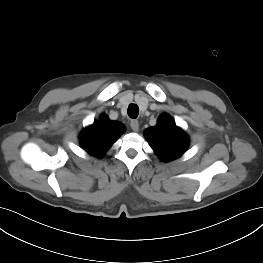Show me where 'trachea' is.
Returning <instances> with one entry per match:
<instances>
[{"instance_id":"1","label":"trachea","mask_w":263,"mask_h":263,"mask_svg":"<svg viewBox=\"0 0 263 263\" xmlns=\"http://www.w3.org/2000/svg\"><path fill=\"white\" fill-rule=\"evenodd\" d=\"M130 118H137L139 114V107L136 104H130L127 110Z\"/></svg>"}]
</instances>
